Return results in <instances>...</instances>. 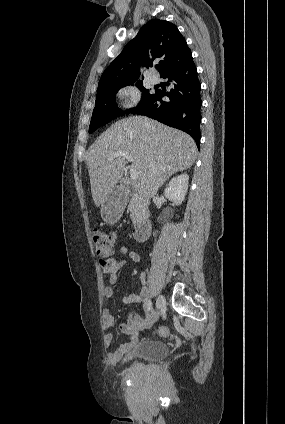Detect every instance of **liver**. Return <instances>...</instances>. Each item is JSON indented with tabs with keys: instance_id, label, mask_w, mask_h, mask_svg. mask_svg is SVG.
<instances>
[{
	"instance_id": "6515ba94",
	"label": "liver",
	"mask_w": 285,
	"mask_h": 424,
	"mask_svg": "<svg viewBox=\"0 0 285 424\" xmlns=\"http://www.w3.org/2000/svg\"><path fill=\"white\" fill-rule=\"evenodd\" d=\"M115 152L132 156L139 172L137 191L150 199L174 173L190 168L196 160L195 141L186 133L147 117H129L111 125L91 145L86 164L92 198L99 207L121 179L126 160L109 158Z\"/></svg>"
}]
</instances>
